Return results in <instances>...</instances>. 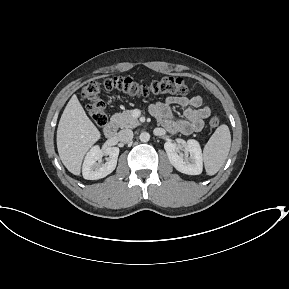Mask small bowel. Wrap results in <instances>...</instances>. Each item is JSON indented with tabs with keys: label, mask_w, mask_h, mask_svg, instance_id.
<instances>
[{
	"label": "small bowel",
	"mask_w": 289,
	"mask_h": 289,
	"mask_svg": "<svg viewBox=\"0 0 289 289\" xmlns=\"http://www.w3.org/2000/svg\"><path fill=\"white\" fill-rule=\"evenodd\" d=\"M174 105L184 109L183 119L173 115L171 107ZM150 112L168 132L188 135L202 130L210 109L203 105V100L199 95L169 96L164 101L151 104Z\"/></svg>",
	"instance_id": "c3829d8e"
}]
</instances>
